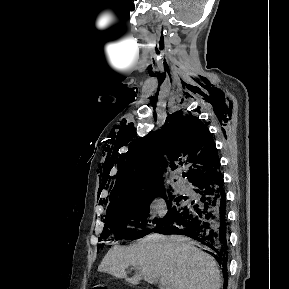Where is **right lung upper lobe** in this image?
Masks as SVG:
<instances>
[{
	"label": "right lung upper lobe",
	"mask_w": 289,
	"mask_h": 289,
	"mask_svg": "<svg viewBox=\"0 0 289 289\" xmlns=\"http://www.w3.org/2000/svg\"><path fill=\"white\" fill-rule=\"evenodd\" d=\"M110 193V205L134 195L169 188L168 173L191 164L187 177L195 183L220 168L211 133L196 117L177 112L162 131L150 133L127 152Z\"/></svg>",
	"instance_id": "right-lung-upper-lobe-1"
}]
</instances>
